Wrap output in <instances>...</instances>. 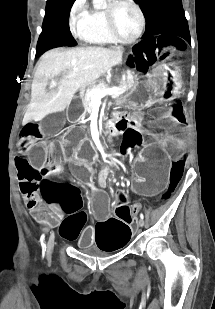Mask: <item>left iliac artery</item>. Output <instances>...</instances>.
Wrapping results in <instances>:
<instances>
[{
  "label": "left iliac artery",
  "instance_id": "44dca946",
  "mask_svg": "<svg viewBox=\"0 0 215 309\" xmlns=\"http://www.w3.org/2000/svg\"><path fill=\"white\" fill-rule=\"evenodd\" d=\"M140 218H141V219H143V218H144L143 214H140Z\"/></svg>",
  "mask_w": 215,
  "mask_h": 309
}]
</instances>
